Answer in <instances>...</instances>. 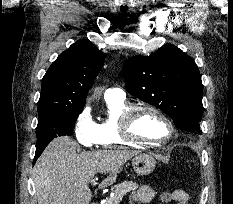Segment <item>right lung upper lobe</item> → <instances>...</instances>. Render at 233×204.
Segmentation results:
<instances>
[{
    "label": "right lung upper lobe",
    "mask_w": 233,
    "mask_h": 204,
    "mask_svg": "<svg viewBox=\"0 0 233 204\" xmlns=\"http://www.w3.org/2000/svg\"><path fill=\"white\" fill-rule=\"evenodd\" d=\"M104 59L105 55L88 40H79L62 52L43 77L39 117L83 109Z\"/></svg>",
    "instance_id": "cb5924a9"
}]
</instances>
